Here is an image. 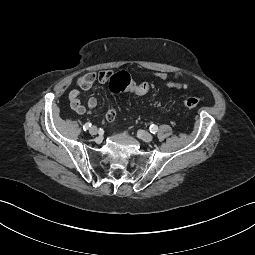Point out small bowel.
Here are the masks:
<instances>
[{
    "label": "small bowel",
    "instance_id": "small-bowel-1",
    "mask_svg": "<svg viewBox=\"0 0 255 255\" xmlns=\"http://www.w3.org/2000/svg\"><path fill=\"white\" fill-rule=\"evenodd\" d=\"M155 75L169 88L186 89L188 87L187 81L182 77H170L168 74L162 72H157ZM110 76L111 72L109 70H101L99 72L92 71L80 76L76 81V88L71 90L69 93V100L72 110L78 114L96 112L98 104L96 98L91 97L87 101V104L84 105L81 103L80 93L81 91H88L95 82H107ZM114 116L115 111L113 109H109L105 114V118L108 121L112 120Z\"/></svg>",
    "mask_w": 255,
    "mask_h": 255
}]
</instances>
